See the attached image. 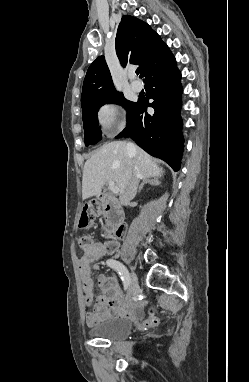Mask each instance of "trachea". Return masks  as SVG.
Returning a JSON list of instances; mask_svg holds the SVG:
<instances>
[{
	"mask_svg": "<svg viewBox=\"0 0 249 382\" xmlns=\"http://www.w3.org/2000/svg\"><path fill=\"white\" fill-rule=\"evenodd\" d=\"M136 74H137V75L139 74V69L136 70Z\"/></svg>",
	"mask_w": 249,
	"mask_h": 382,
	"instance_id": "3493384b",
	"label": "trachea"
}]
</instances>
